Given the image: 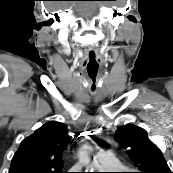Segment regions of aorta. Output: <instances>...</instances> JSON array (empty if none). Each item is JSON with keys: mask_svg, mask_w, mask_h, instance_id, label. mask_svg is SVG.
<instances>
[{"mask_svg": "<svg viewBox=\"0 0 173 173\" xmlns=\"http://www.w3.org/2000/svg\"><path fill=\"white\" fill-rule=\"evenodd\" d=\"M79 160L81 163L85 164V165H88L89 164V156H88V153L87 151H81L79 153ZM88 169H89V166H88Z\"/></svg>", "mask_w": 173, "mask_h": 173, "instance_id": "aorta-1", "label": "aorta"}]
</instances>
